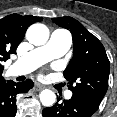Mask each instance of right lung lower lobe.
<instances>
[{"label": "right lung lower lobe", "instance_id": "obj_1", "mask_svg": "<svg viewBox=\"0 0 117 117\" xmlns=\"http://www.w3.org/2000/svg\"><path fill=\"white\" fill-rule=\"evenodd\" d=\"M33 87L32 80L15 83L12 80L0 82V117H15L16 96L26 93Z\"/></svg>", "mask_w": 117, "mask_h": 117}]
</instances>
